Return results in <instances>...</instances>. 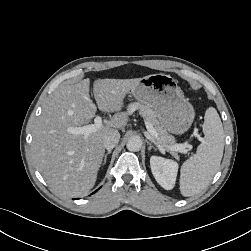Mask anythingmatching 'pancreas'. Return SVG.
Wrapping results in <instances>:
<instances>
[{
	"instance_id": "1",
	"label": "pancreas",
	"mask_w": 251,
	"mask_h": 251,
	"mask_svg": "<svg viewBox=\"0 0 251 251\" xmlns=\"http://www.w3.org/2000/svg\"><path fill=\"white\" fill-rule=\"evenodd\" d=\"M135 110H139V113L141 116L144 117L145 122L150 123L154 130L157 132V142L165 148L167 151H169L174 157H178L177 154L174 151L170 150V147L173 145H176L175 143V138L168 133L167 130H165L158 118H157V113L154 109L151 107L140 104V103H131L128 106V113L131 114Z\"/></svg>"
}]
</instances>
